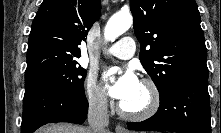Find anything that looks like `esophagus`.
Returning a JSON list of instances; mask_svg holds the SVG:
<instances>
[{
    "label": "esophagus",
    "mask_w": 221,
    "mask_h": 133,
    "mask_svg": "<svg viewBox=\"0 0 221 133\" xmlns=\"http://www.w3.org/2000/svg\"><path fill=\"white\" fill-rule=\"evenodd\" d=\"M116 133H128L125 128H123L121 125H117L115 128Z\"/></svg>",
    "instance_id": "34e87169"
}]
</instances>
